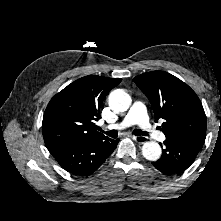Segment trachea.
Returning <instances> with one entry per match:
<instances>
[{
	"label": "trachea",
	"instance_id": "trachea-1",
	"mask_svg": "<svg viewBox=\"0 0 221 221\" xmlns=\"http://www.w3.org/2000/svg\"><path fill=\"white\" fill-rule=\"evenodd\" d=\"M101 132H104L106 135H108L109 137L112 138H116L118 135V131L117 130H111V131H103L102 129H99ZM133 133L135 135H141V136H148V133L140 130V129H134Z\"/></svg>",
	"mask_w": 221,
	"mask_h": 221
}]
</instances>
